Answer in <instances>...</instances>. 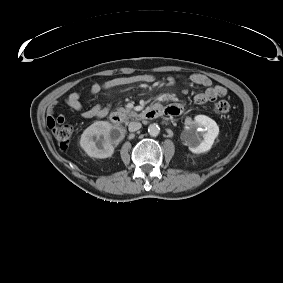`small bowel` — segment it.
Instances as JSON below:
<instances>
[{
  "label": "small bowel",
  "instance_id": "small-bowel-1",
  "mask_svg": "<svg viewBox=\"0 0 283 283\" xmlns=\"http://www.w3.org/2000/svg\"><path fill=\"white\" fill-rule=\"evenodd\" d=\"M154 80L152 75L142 74L136 76H122L112 78L104 82H94L90 86L89 93L91 95H96L104 90L134 84V83H150ZM191 82L194 85L204 87L205 90L199 93H196L193 97V100L196 104L203 105L207 102L213 101L218 97H223L227 94V90L220 85H212V81L209 77L204 74L196 73L191 75ZM169 82H173V79H169ZM165 99H171L169 95L165 96ZM63 103L71 108L72 110L79 112L81 117L85 119L90 118H103L108 113V107L106 106H94L91 108H84L81 103V95L77 92L69 94L64 100ZM59 106V102H53L48 107V117L47 124L50 127H53L56 123H64L65 118L63 116H55V110ZM167 113L172 116H176L182 113L183 109L180 106H170L166 109Z\"/></svg>",
  "mask_w": 283,
  "mask_h": 283
}]
</instances>
